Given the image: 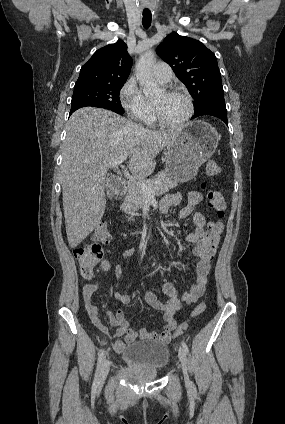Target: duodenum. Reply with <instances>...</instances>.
Wrapping results in <instances>:
<instances>
[{
    "instance_id": "duodenum-1",
    "label": "duodenum",
    "mask_w": 285,
    "mask_h": 424,
    "mask_svg": "<svg viewBox=\"0 0 285 424\" xmlns=\"http://www.w3.org/2000/svg\"><path fill=\"white\" fill-rule=\"evenodd\" d=\"M110 189L115 194H120L125 190V182L123 178L114 176L110 180Z\"/></svg>"
}]
</instances>
